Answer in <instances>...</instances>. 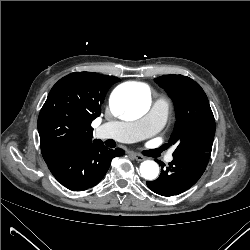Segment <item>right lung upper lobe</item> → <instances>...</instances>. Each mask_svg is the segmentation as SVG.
<instances>
[{
	"mask_svg": "<svg viewBox=\"0 0 250 250\" xmlns=\"http://www.w3.org/2000/svg\"><path fill=\"white\" fill-rule=\"evenodd\" d=\"M120 79L74 72L51 89L38 117L43 158L92 142V121L101 113L108 89Z\"/></svg>",
	"mask_w": 250,
	"mask_h": 250,
	"instance_id": "1",
	"label": "right lung upper lobe"
}]
</instances>
